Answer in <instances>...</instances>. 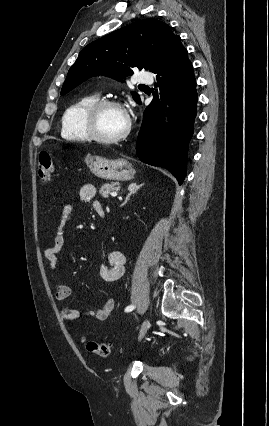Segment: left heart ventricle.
<instances>
[{
	"instance_id": "1",
	"label": "left heart ventricle",
	"mask_w": 269,
	"mask_h": 426,
	"mask_svg": "<svg viewBox=\"0 0 269 426\" xmlns=\"http://www.w3.org/2000/svg\"><path fill=\"white\" fill-rule=\"evenodd\" d=\"M125 112L116 107L103 108L96 121L99 135L105 138H113L120 135L126 127Z\"/></svg>"
}]
</instances>
